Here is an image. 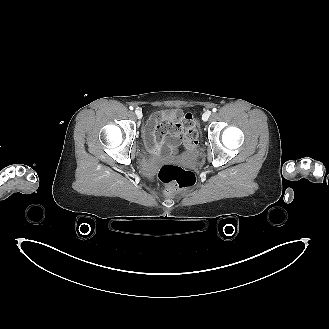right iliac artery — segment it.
<instances>
[{"label":"right iliac artery","mask_w":329,"mask_h":329,"mask_svg":"<svg viewBox=\"0 0 329 329\" xmlns=\"http://www.w3.org/2000/svg\"><path fill=\"white\" fill-rule=\"evenodd\" d=\"M134 108L132 106H130V110H133Z\"/></svg>","instance_id":"right-iliac-artery-1"}]
</instances>
